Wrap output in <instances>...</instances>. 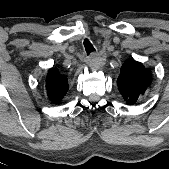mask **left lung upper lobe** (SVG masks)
<instances>
[{"instance_id":"1","label":"left lung upper lobe","mask_w":169,"mask_h":169,"mask_svg":"<svg viewBox=\"0 0 169 169\" xmlns=\"http://www.w3.org/2000/svg\"><path fill=\"white\" fill-rule=\"evenodd\" d=\"M151 81V73L142 63L128 59L121 67L118 89L128 104L135 103Z\"/></svg>"}]
</instances>
